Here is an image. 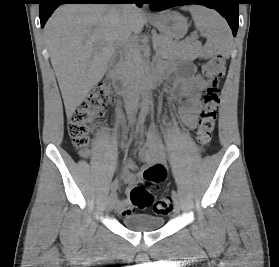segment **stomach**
<instances>
[{"label": "stomach", "mask_w": 279, "mask_h": 267, "mask_svg": "<svg viewBox=\"0 0 279 267\" xmlns=\"http://www.w3.org/2000/svg\"><path fill=\"white\" fill-rule=\"evenodd\" d=\"M162 35L168 38H183L188 31L187 19L176 11H166L150 20Z\"/></svg>", "instance_id": "stomach-1"}]
</instances>
